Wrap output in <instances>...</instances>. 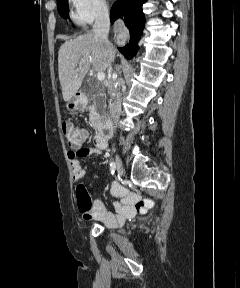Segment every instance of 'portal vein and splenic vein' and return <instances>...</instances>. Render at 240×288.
Returning a JSON list of instances; mask_svg holds the SVG:
<instances>
[{"label":"portal vein and splenic vein","instance_id":"18ae733b","mask_svg":"<svg viewBox=\"0 0 240 288\" xmlns=\"http://www.w3.org/2000/svg\"><path fill=\"white\" fill-rule=\"evenodd\" d=\"M84 60H82L81 61V63H80V65H82V64H84ZM97 79L99 80V81H104V79H105V73L104 72H98L97 73Z\"/></svg>","mask_w":240,"mask_h":288}]
</instances>
